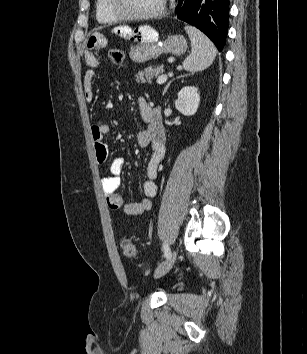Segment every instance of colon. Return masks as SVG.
Masks as SVG:
<instances>
[{
	"label": "colon",
	"instance_id": "colon-1",
	"mask_svg": "<svg viewBox=\"0 0 307 354\" xmlns=\"http://www.w3.org/2000/svg\"><path fill=\"white\" fill-rule=\"evenodd\" d=\"M108 57L112 62L116 64H120L123 62L125 58V54L123 50L118 48H113L109 50ZM121 248H122L123 256L125 258L135 259L137 257L138 254L137 248L131 240L123 239L121 243Z\"/></svg>",
	"mask_w": 307,
	"mask_h": 354
}]
</instances>
